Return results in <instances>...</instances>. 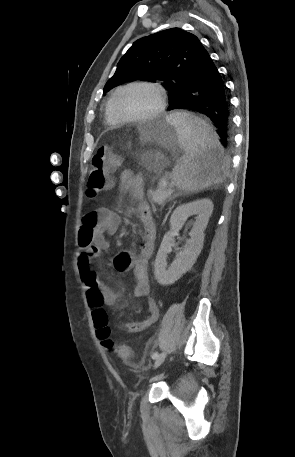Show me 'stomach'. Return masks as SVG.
Instances as JSON below:
<instances>
[{"instance_id": "obj_1", "label": "stomach", "mask_w": 295, "mask_h": 457, "mask_svg": "<svg viewBox=\"0 0 295 457\" xmlns=\"http://www.w3.org/2000/svg\"><path fill=\"white\" fill-rule=\"evenodd\" d=\"M141 141L144 145L175 150L180 144L176 127L167 120L158 119L142 130ZM142 162L150 170L157 172L166 161V156L160 149L147 151L142 156Z\"/></svg>"}]
</instances>
